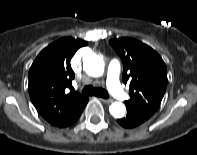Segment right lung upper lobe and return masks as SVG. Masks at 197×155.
<instances>
[{
  "instance_id": "obj_1",
  "label": "right lung upper lobe",
  "mask_w": 197,
  "mask_h": 155,
  "mask_svg": "<svg viewBox=\"0 0 197 155\" xmlns=\"http://www.w3.org/2000/svg\"><path fill=\"white\" fill-rule=\"evenodd\" d=\"M87 42L61 38L43 49L29 70L28 90L32 103L50 124L65 127L88 97L72 88L74 72L70 60ZM72 91L68 93L67 89Z\"/></svg>"
}]
</instances>
